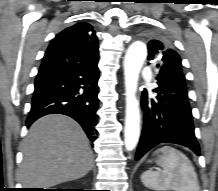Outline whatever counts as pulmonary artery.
I'll list each match as a JSON object with an SVG mask.
<instances>
[{
    "label": "pulmonary artery",
    "mask_w": 218,
    "mask_h": 191,
    "mask_svg": "<svg viewBox=\"0 0 218 191\" xmlns=\"http://www.w3.org/2000/svg\"><path fill=\"white\" fill-rule=\"evenodd\" d=\"M142 75L144 77H150L152 75V71L150 68H145L143 71H142Z\"/></svg>",
    "instance_id": "obj_1"
}]
</instances>
